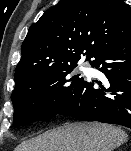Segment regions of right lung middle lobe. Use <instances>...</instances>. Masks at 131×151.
<instances>
[{
    "mask_svg": "<svg viewBox=\"0 0 131 151\" xmlns=\"http://www.w3.org/2000/svg\"><path fill=\"white\" fill-rule=\"evenodd\" d=\"M75 67L76 64L59 68L15 88L11 95L13 125L21 126L57 115L84 81L80 75H70Z\"/></svg>",
    "mask_w": 131,
    "mask_h": 151,
    "instance_id": "obj_1",
    "label": "right lung middle lobe"
}]
</instances>
